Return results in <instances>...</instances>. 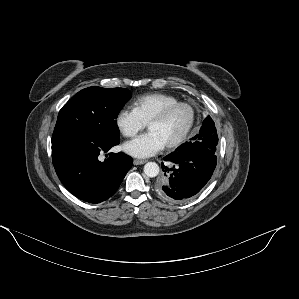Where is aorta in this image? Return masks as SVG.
I'll list each match as a JSON object with an SVG mask.
<instances>
[{"mask_svg":"<svg viewBox=\"0 0 299 299\" xmlns=\"http://www.w3.org/2000/svg\"><path fill=\"white\" fill-rule=\"evenodd\" d=\"M144 173L148 177H156L159 174V166L155 162H148L144 165Z\"/></svg>","mask_w":299,"mask_h":299,"instance_id":"762f6f07","label":"aorta"}]
</instances>
